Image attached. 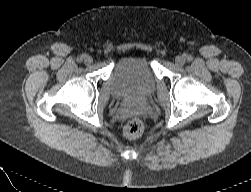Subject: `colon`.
<instances>
[{
  "label": "colon",
  "mask_w": 251,
  "mask_h": 192,
  "mask_svg": "<svg viewBox=\"0 0 251 192\" xmlns=\"http://www.w3.org/2000/svg\"><path fill=\"white\" fill-rule=\"evenodd\" d=\"M144 127L141 120L134 118L129 120L124 127V136L128 139H136L143 133Z\"/></svg>",
  "instance_id": "colon-1"
}]
</instances>
